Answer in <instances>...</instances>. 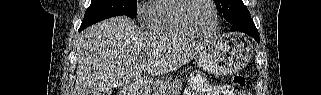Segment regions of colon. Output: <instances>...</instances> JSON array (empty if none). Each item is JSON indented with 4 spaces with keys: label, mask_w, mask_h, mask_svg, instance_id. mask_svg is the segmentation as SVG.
Returning <instances> with one entry per match:
<instances>
[{
    "label": "colon",
    "mask_w": 321,
    "mask_h": 95,
    "mask_svg": "<svg viewBox=\"0 0 321 95\" xmlns=\"http://www.w3.org/2000/svg\"><path fill=\"white\" fill-rule=\"evenodd\" d=\"M232 83L236 86H243L245 84V77L241 74H235L232 76Z\"/></svg>",
    "instance_id": "5ec220e1"
}]
</instances>
